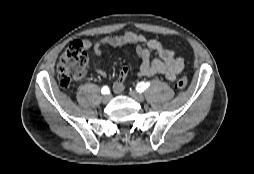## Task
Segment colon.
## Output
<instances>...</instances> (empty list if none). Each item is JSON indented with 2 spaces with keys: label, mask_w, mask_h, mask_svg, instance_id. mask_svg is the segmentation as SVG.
<instances>
[{
  "label": "colon",
  "mask_w": 254,
  "mask_h": 174,
  "mask_svg": "<svg viewBox=\"0 0 254 174\" xmlns=\"http://www.w3.org/2000/svg\"><path fill=\"white\" fill-rule=\"evenodd\" d=\"M89 63L88 53L82 41L76 40L68 45L60 57L57 65V81L62 88H67L73 79L85 71ZM187 86V79L180 77L176 87L184 90Z\"/></svg>",
  "instance_id": "colon-1"
}]
</instances>
